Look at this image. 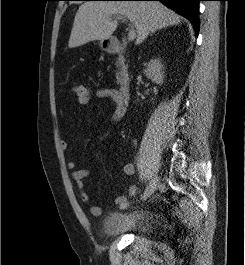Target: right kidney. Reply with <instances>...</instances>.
Listing matches in <instances>:
<instances>
[{
  "mask_svg": "<svg viewBox=\"0 0 245 265\" xmlns=\"http://www.w3.org/2000/svg\"><path fill=\"white\" fill-rule=\"evenodd\" d=\"M164 68L159 59H152L144 70L145 75L152 80V82L161 85L164 80Z\"/></svg>",
  "mask_w": 245,
  "mask_h": 265,
  "instance_id": "1",
  "label": "right kidney"
}]
</instances>
